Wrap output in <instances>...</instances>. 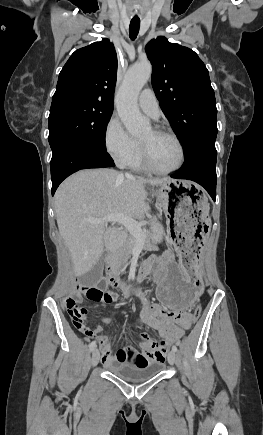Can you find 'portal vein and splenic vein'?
I'll return each mask as SVG.
<instances>
[{
  "label": "portal vein and splenic vein",
  "instance_id": "portal-vein-and-splenic-vein-1",
  "mask_svg": "<svg viewBox=\"0 0 263 435\" xmlns=\"http://www.w3.org/2000/svg\"><path fill=\"white\" fill-rule=\"evenodd\" d=\"M88 221L92 224H100L102 222H118L124 225L126 229L138 239L145 240L147 237L138 222L123 214H114L103 219H89Z\"/></svg>",
  "mask_w": 263,
  "mask_h": 435
}]
</instances>
